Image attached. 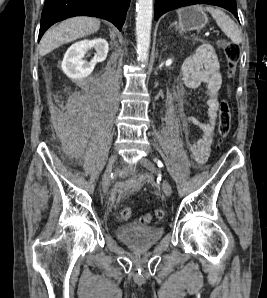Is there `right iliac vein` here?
<instances>
[{
    "label": "right iliac vein",
    "instance_id": "1",
    "mask_svg": "<svg viewBox=\"0 0 267 298\" xmlns=\"http://www.w3.org/2000/svg\"><path fill=\"white\" fill-rule=\"evenodd\" d=\"M116 160H117V154H113L108 161L106 170L103 175V180H102L104 189H107L110 185V176H111L112 168H113Z\"/></svg>",
    "mask_w": 267,
    "mask_h": 298
}]
</instances>
